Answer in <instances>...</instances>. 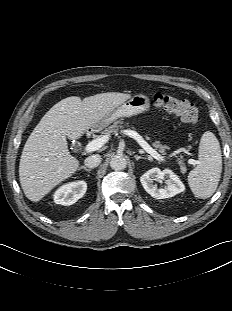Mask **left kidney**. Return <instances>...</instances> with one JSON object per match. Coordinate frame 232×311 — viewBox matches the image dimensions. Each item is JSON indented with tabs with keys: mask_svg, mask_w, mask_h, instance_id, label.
Segmentation results:
<instances>
[{
	"mask_svg": "<svg viewBox=\"0 0 232 311\" xmlns=\"http://www.w3.org/2000/svg\"><path fill=\"white\" fill-rule=\"evenodd\" d=\"M167 186L158 188L154 181L165 180ZM140 182L147 193L156 199L173 197L185 190L184 184L179 177L169 169L161 171L159 168H152L140 177Z\"/></svg>",
	"mask_w": 232,
	"mask_h": 311,
	"instance_id": "obj_1",
	"label": "left kidney"
}]
</instances>
